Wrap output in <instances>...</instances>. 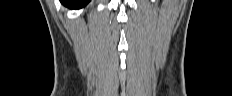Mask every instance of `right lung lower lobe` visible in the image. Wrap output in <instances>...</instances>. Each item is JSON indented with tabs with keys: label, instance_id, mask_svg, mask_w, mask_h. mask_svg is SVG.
<instances>
[{
	"label": "right lung lower lobe",
	"instance_id": "obj_1",
	"mask_svg": "<svg viewBox=\"0 0 232 96\" xmlns=\"http://www.w3.org/2000/svg\"><path fill=\"white\" fill-rule=\"evenodd\" d=\"M61 3L69 8H81L85 5H87V3L90 0H60Z\"/></svg>",
	"mask_w": 232,
	"mask_h": 96
}]
</instances>
